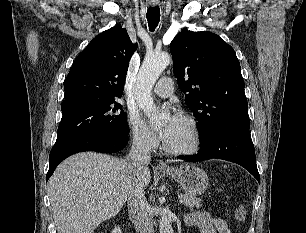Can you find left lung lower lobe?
Segmentation results:
<instances>
[{
	"mask_svg": "<svg viewBox=\"0 0 306 233\" xmlns=\"http://www.w3.org/2000/svg\"><path fill=\"white\" fill-rule=\"evenodd\" d=\"M218 158L231 161L247 169L260 183L255 150L249 128L220 130L201 141L199 153L184 156L187 161H201Z\"/></svg>",
	"mask_w": 306,
	"mask_h": 233,
	"instance_id": "0a47b994",
	"label": "left lung lower lobe"
}]
</instances>
